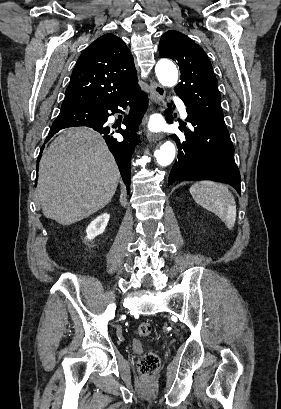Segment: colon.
<instances>
[{
    "label": "colon",
    "instance_id": "obj_1",
    "mask_svg": "<svg viewBox=\"0 0 281 409\" xmlns=\"http://www.w3.org/2000/svg\"><path fill=\"white\" fill-rule=\"evenodd\" d=\"M137 334L142 337L151 335L152 326L149 323H141L136 328ZM159 364L158 357L153 353H146L139 361V368L143 373L153 372Z\"/></svg>",
    "mask_w": 281,
    "mask_h": 409
}]
</instances>
